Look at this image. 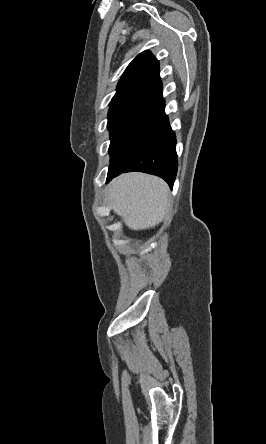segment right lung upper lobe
I'll list each match as a JSON object with an SVG mask.
<instances>
[{
	"mask_svg": "<svg viewBox=\"0 0 266 444\" xmlns=\"http://www.w3.org/2000/svg\"><path fill=\"white\" fill-rule=\"evenodd\" d=\"M134 96H148L164 101L159 62L148 50L138 54L126 68L111 102Z\"/></svg>",
	"mask_w": 266,
	"mask_h": 444,
	"instance_id": "obj_1",
	"label": "right lung upper lobe"
}]
</instances>
